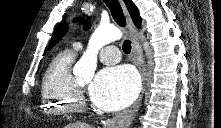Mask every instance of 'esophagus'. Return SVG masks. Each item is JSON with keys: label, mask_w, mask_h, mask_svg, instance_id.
<instances>
[{"label": "esophagus", "mask_w": 221, "mask_h": 128, "mask_svg": "<svg viewBox=\"0 0 221 128\" xmlns=\"http://www.w3.org/2000/svg\"><path fill=\"white\" fill-rule=\"evenodd\" d=\"M123 12L126 17L128 30L132 39V60L137 65L142 77V88L138 99L126 110L118 113L112 119L102 123L103 128H126L135 118L142 102L146 85V64L144 60L143 50L140 42L139 31L132 22V19L128 13V10L122 0H120Z\"/></svg>", "instance_id": "obj_1"}]
</instances>
